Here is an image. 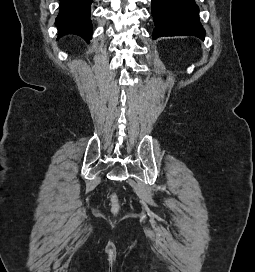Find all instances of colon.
Returning <instances> with one entry per match:
<instances>
[{
    "mask_svg": "<svg viewBox=\"0 0 255 272\" xmlns=\"http://www.w3.org/2000/svg\"><path fill=\"white\" fill-rule=\"evenodd\" d=\"M111 208L114 213H117L120 209L119 199L116 194L110 196Z\"/></svg>",
    "mask_w": 255,
    "mask_h": 272,
    "instance_id": "1",
    "label": "colon"
}]
</instances>
